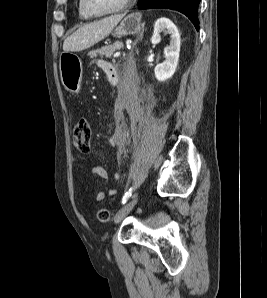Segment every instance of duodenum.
I'll return each mask as SVG.
<instances>
[{
    "label": "duodenum",
    "mask_w": 267,
    "mask_h": 298,
    "mask_svg": "<svg viewBox=\"0 0 267 298\" xmlns=\"http://www.w3.org/2000/svg\"><path fill=\"white\" fill-rule=\"evenodd\" d=\"M107 77L109 82L113 85V86H117L119 84V74L118 71L115 67H113L110 71H108L107 73Z\"/></svg>",
    "instance_id": "duodenum-1"
}]
</instances>
